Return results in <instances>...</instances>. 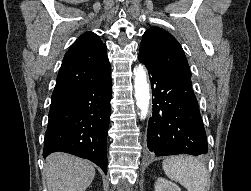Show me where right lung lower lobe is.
Returning a JSON list of instances; mask_svg holds the SVG:
<instances>
[{
  "label": "right lung lower lobe",
  "mask_w": 251,
  "mask_h": 191,
  "mask_svg": "<svg viewBox=\"0 0 251 191\" xmlns=\"http://www.w3.org/2000/svg\"><path fill=\"white\" fill-rule=\"evenodd\" d=\"M111 91L110 75L94 85L53 99L44 139V158L62 151L89 159L107 173Z\"/></svg>",
  "instance_id": "98d812e1"
}]
</instances>
